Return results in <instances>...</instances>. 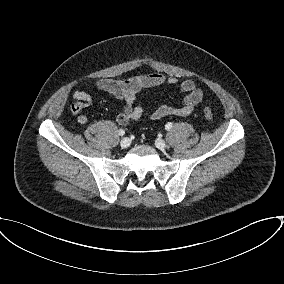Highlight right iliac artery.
<instances>
[{"label": "right iliac artery", "mask_w": 284, "mask_h": 284, "mask_svg": "<svg viewBox=\"0 0 284 284\" xmlns=\"http://www.w3.org/2000/svg\"><path fill=\"white\" fill-rule=\"evenodd\" d=\"M125 134V131L123 129L119 130V135L123 136Z\"/></svg>", "instance_id": "obj_1"}]
</instances>
